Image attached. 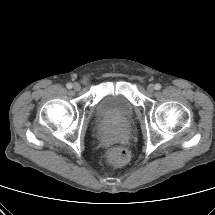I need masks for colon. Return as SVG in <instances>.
I'll list each match as a JSON object with an SVG mask.
<instances>
[{
    "instance_id": "1",
    "label": "colon",
    "mask_w": 215,
    "mask_h": 215,
    "mask_svg": "<svg viewBox=\"0 0 215 215\" xmlns=\"http://www.w3.org/2000/svg\"><path fill=\"white\" fill-rule=\"evenodd\" d=\"M106 157L112 165L121 166L129 160V152L124 147L115 146L108 149Z\"/></svg>"
}]
</instances>
